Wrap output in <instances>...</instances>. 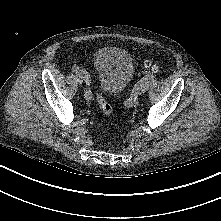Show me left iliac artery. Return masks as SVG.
<instances>
[{
    "label": "left iliac artery",
    "instance_id": "1",
    "mask_svg": "<svg viewBox=\"0 0 221 221\" xmlns=\"http://www.w3.org/2000/svg\"><path fill=\"white\" fill-rule=\"evenodd\" d=\"M154 78V75L153 74H148L146 75L144 78H142L138 84L136 85V87L134 88L133 90V93L132 95L129 97V99L125 102V106L127 108H130L132 107L135 102H136V99H137V95H138V92H139V89H140V86L143 84V83H148L149 81H151L152 79Z\"/></svg>",
    "mask_w": 221,
    "mask_h": 221
}]
</instances>
